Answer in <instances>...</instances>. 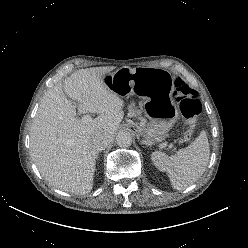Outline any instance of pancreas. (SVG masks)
<instances>
[{
    "label": "pancreas",
    "instance_id": "obj_1",
    "mask_svg": "<svg viewBox=\"0 0 248 248\" xmlns=\"http://www.w3.org/2000/svg\"><path fill=\"white\" fill-rule=\"evenodd\" d=\"M133 107H134V104H131V105L129 106V109H130V110H133Z\"/></svg>",
    "mask_w": 248,
    "mask_h": 248
}]
</instances>
